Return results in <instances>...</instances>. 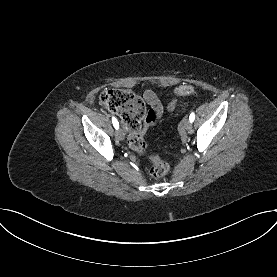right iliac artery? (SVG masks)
Wrapping results in <instances>:
<instances>
[{
  "instance_id": "1",
  "label": "right iliac artery",
  "mask_w": 277,
  "mask_h": 277,
  "mask_svg": "<svg viewBox=\"0 0 277 277\" xmlns=\"http://www.w3.org/2000/svg\"><path fill=\"white\" fill-rule=\"evenodd\" d=\"M112 123H113V126L115 127V129L119 128V123L116 118H114V117L112 118Z\"/></svg>"
}]
</instances>
